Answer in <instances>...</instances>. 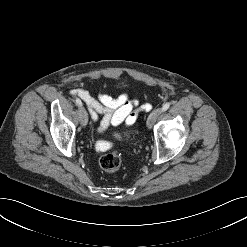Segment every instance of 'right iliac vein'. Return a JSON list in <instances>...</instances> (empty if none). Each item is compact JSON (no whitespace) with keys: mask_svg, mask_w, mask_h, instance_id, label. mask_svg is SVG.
Returning <instances> with one entry per match:
<instances>
[{"mask_svg":"<svg viewBox=\"0 0 247 247\" xmlns=\"http://www.w3.org/2000/svg\"><path fill=\"white\" fill-rule=\"evenodd\" d=\"M79 115H80V123L82 126H85L88 122V114L85 108L80 107L79 109Z\"/></svg>","mask_w":247,"mask_h":247,"instance_id":"1","label":"right iliac vein"}]
</instances>
